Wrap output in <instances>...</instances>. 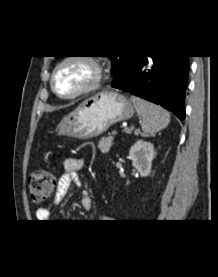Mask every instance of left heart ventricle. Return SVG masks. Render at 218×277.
Returning <instances> with one entry per match:
<instances>
[{
    "label": "left heart ventricle",
    "mask_w": 218,
    "mask_h": 277,
    "mask_svg": "<svg viewBox=\"0 0 218 277\" xmlns=\"http://www.w3.org/2000/svg\"><path fill=\"white\" fill-rule=\"evenodd\" d=\"M89 69L77 63H72L57 74L55 85L57 90L64 95L72 94L78 91L89 79Z\"/></svg>",
    "instance_id": "left-heart-ventricle-1"
}]
</instances>
